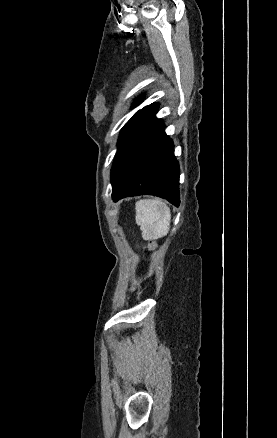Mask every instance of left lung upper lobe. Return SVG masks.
<instances>
[{
    "label": "left lung upper lobe",
    "instance_id": "left-lung-upper-lobe-1",
    "mask_svg": "<svg viewBox=\"0 0 277 438\" xmlns=\"http://www.w3.org/2000/svg\"><path fill=\"white\" fill-rule=\"evenodd\" d=\"M143 97H139L137 101L135 102V105H138L142 101ZM138 111L123 127L121 130L119 140H118V150L113 162V166L111 169V184L113 185L115 181L117 180V177L119 175V172L122 168L123 162L125 160V157L127 155L128 149L131 144L132 135H133V128L135 125V122L137 120V117L139 115Z\"/></svg>",
    "mask_w": 277,
    "mask_h": 438
}]
</instances>
